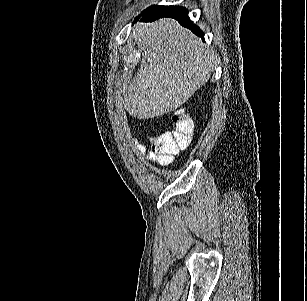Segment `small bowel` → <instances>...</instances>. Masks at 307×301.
Wrapping results in <instances>:
<instances>
[{
  "mask_svg": "<svg viewBox=\"0 0 307 301\" xmlns=\"http://www.w3.org/2000/svg\"><path fill=\"white\" fill-rule=\"evenodd\" d=\"M136 151L140 155H145L152 162L164 163L153 151H147L146 147L135 141Z\"/></svg>",
  "mask_w": 307,
  "mask_h": 301,
  "instance_id": "obj_1",
  "label": "small bowel"
}]
</instances>
